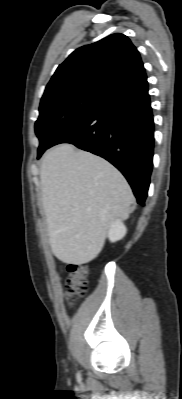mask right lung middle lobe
Instances as JSON below:
<instances>
[{
  "label": "right lung middle lobe",
  "instance_id": "dd1d6c3e",
  "mask_svg": "<svg viewBox=\"0 0 182 399\" xmlns=\"http://www.w3.org/2000/svg\"><path fill=\"white\" fill-rule=\"evenodd\" d=\"M105 98L91 94H72L41 101L35 133L40 140L38 158L64 128L101 106Z\"/></svg>",
  "mask_w": 182,
  "mask_h": 399
}]
</instances>
